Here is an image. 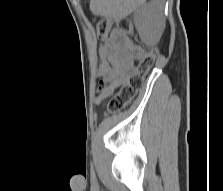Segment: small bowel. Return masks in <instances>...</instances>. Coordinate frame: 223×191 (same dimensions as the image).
I'll return each mask as SVG.
<instances>
[{
  "instance_id": "obj_1",
  "label": "small bowel",
  "mask_w": 223,
  "mask_h": 191,
  "mask_svg": "<svg viewBox=\"0 0 223 191\" xmlns=\"http://www.w3.org/2000/svg\"><path fill=\"white\" fill-rule=\"evenodd\" d=\"M105 54L110 70L99 72L103 79L96 103L102 102L115 89L125 85L135 71V63L145 55V51L124 33L112 30L106 40Z\"/></svg>"
}]
</instances>
